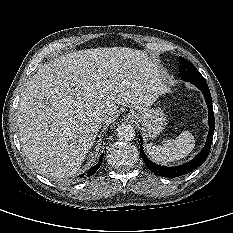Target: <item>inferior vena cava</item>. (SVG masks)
<instances>
[{
    "label": "inferior vena cava",
    "mask_w": 233,
    "mask_h": 233,
    "mask_svg": "<svg viewBox=\"0 0 233 233\" xmlns=\"http://www.w3.org/2000/svg\"><path fill=\"white\" fill-rule=\"evenodd\" d=\"M95 119H96V121L98 122V123H103L104 121H105V116L104 115H98V116H96L95 117Z\"/></svg>",
    "instance_id": "1"
}]
</instances>
